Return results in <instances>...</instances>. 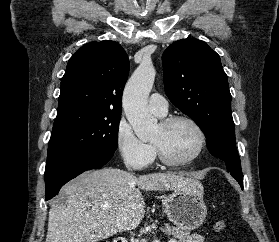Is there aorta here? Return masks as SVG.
I'll list each match as a JSON object with an SVG mask.
<instances>
[{
	"mask_svg": "<svg viewBox=\"0 0 279 242\" xmlns=\"http://www.w3.org/2000/svg\"><path fill=\"white\" fill-rule=\"evenodd\" d=\"M155 73L151 64H140L123 93L122 105L126 118L142 141H147L157 129V119L147 108V99L155 80Z\"/></svg>",
	"mask_w": 279,
	"mask_h": 242,
	"instance_id": "1",
	"label": "aorta"
}]
</instances>
